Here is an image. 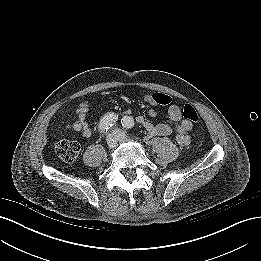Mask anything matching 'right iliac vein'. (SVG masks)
Instances as JSON below:
<instances>
[{"instance_id": "1", "label": "right iliac vein", "mask_w": 261, "mask_h": 261, "mask_svg": "<svg viewBox=\"0 0 261 261\" xmlns=\"http://www.w3.org/2000/svg\"><path fill=\"white\" fill-rule=\"evenodd\" d=\"M106 142L109 148H114L117 145V137L115 133H111L107 136Z\"/></svg>"}]
</instances>
